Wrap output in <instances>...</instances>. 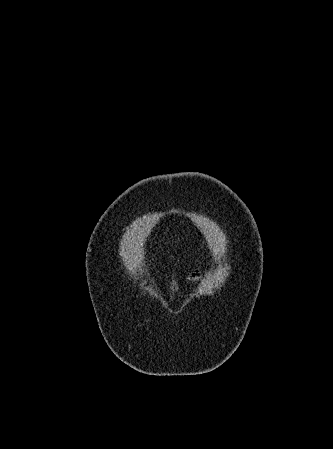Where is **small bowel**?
I'll list each match as a JSON object with an SVG mask.
<instances>
[{"label": "small bowel", "mask_w": 333, "mask_h": 449, "mask_svg": "<svg viewBox=\"0 0 333 449\" xmlns=\"http://www.w3.org/2000/svg\"><path fill=\"white\" fill-rule=\"evenodd\" d=\"M200 277H201V273L199 270L193 271L188 277V287L189 288L194 287L200 280Z\"/></svg>", "instance_id": "c3829d8e"}]
</instances>
